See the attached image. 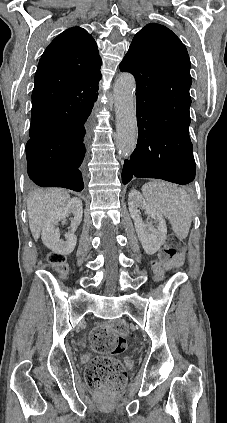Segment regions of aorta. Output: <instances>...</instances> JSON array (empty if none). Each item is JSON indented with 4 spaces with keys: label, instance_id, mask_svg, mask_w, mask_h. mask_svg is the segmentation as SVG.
Masks as SVG:
<instances>
[{
    "label": "aorta",
    "instance_id": "762f6f07",
    "mask_svg": "<svg viewBox=\"0 0 227 423\" xmlns=\"http://www.w3.org/2000/svg\"><path fill=\"white\" fill-rule=\"evenodd\" d=\"M135 88V79L130 73L120 74L115 80L113 88L117 149L119 154L124 157L130 156L134 151L138 138Z\"/></svg>",
    "mask_w": 227,
    "mask_h": 423
}]
</instances>
